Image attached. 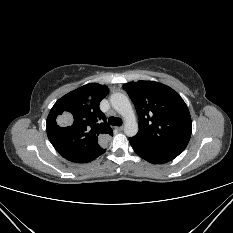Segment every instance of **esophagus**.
<instances>
[{"mask_svg": "<svg viewBox=\"0 0 233 233\" xmlns=\"http://www.w3.org/2000/svg\"><path fill=\"white\" fill-rule=\"evenodd\" d=\"M118 132H121L123 130V127L122 126H119V127H116L115 128Z\"/></svg>", "mask_w": 233, "mask_h": 233, "instance_id": "1", "label": "esophagus"}]
</instances>
